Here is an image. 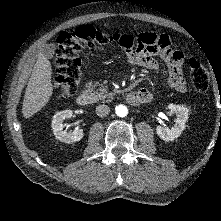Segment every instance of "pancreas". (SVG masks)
Listing matches in <instances>:
<instances>
[{"instance_id":"1","label":"pancreas","mask_w":221,"mask_h":221,"mask_svg":"<svg viewBox=\"0 0 221 221\" xmlns=\"http://www.w3.org/2000/svg\"><path fill=\"white\" fill-rule=\"evenodd\" d=\"M86 88L91 96L92 102H98L99 100H102L103 102H110L115 95L114 92H108V88L106 86H100L98 82H89L86 84Z\"/></svg>"}]
</instances>
